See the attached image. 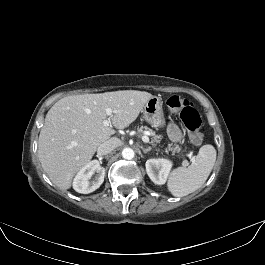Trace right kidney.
I'll list each match as a JSON object with an SVG mask.
<instances>
[{
	"label": "right kidney",
	"instance_id": "ca27d5eb",
	"mask_svg": "<svg viewBox=\"0 0 265 265\" xmlns=\"http://www.w3.org/2000/svg\"><path fill=\"white\" fill-rule=\"evenodd\" d=\"M104 176L105 168L99 164V161H91L78 172L73 181V188L78 193H91L101 186Z\"/></svg>",
	"mask_w": 265,
	"mask_h": 265
}]
</instances>
